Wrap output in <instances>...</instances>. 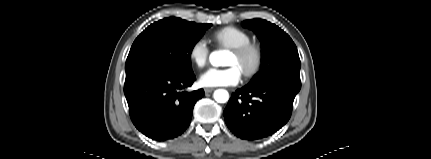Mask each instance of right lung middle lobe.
Wrapping results in <instances>:
<instances>
[{"instance_id": "dd1d6c3e", "label": "right lung middle lobe", "mask_w": 431, "mask_h": 159, "mask_svg": "<svg viewBox=\"0 0 431 159\" xmlns=\"http://www.w3.org/2000/svg\"><path fill=\"white\" fill-rule=\"evenodd\" d=\"M211 25L176 17L151 24L132 44L125 65L126 74L152 65L178 73H193L192 49Z\"/></svg>"}]
</instances>
